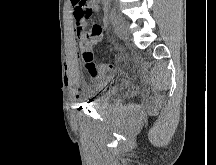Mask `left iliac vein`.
I'll use <instances>...</instances> for the list:
<instances>
[{"mask_svg": "<svg viewBox=\"0 0 216 165\" xmlns=\"http://www.w3.org/2000/svg\"><path fill=\"white\" fill-rule=\"evenodd\" d=\"M115 31L116 34L122 38L127 39L129 36V28H128V22L125 20L124 17L119 16L117 17V20L115 22Z\"/></svg>", "mask_w": 216, "mask_h": 165, "instance_id": "4c4485c4", "label": "left iliac vein"}]
</instances>
